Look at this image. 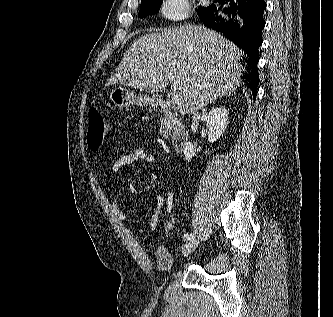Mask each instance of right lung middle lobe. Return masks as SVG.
I'll return each mask as SVG.
<instances>
[{
  "mask_svg": "<svg viewBox=\"0 0 333 317\" xmlns=\"http://www.w3.org/2000/svg\"><path fill=\"white\" fill-rule=\"evenodd\" d=\"M162 4V0H142L140 6L139 17H144L157 12ZM205 8L202 6L198 7V13L203 11Z\"/></svg>",
  "mask_w": 333,
  "mask_h": 317,
  "instance_id": "dd1d6c3e",
  "label": "right lung middle lobe"
}]
</instances>
